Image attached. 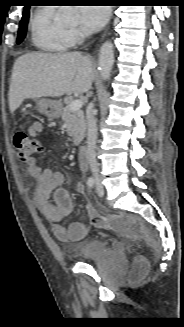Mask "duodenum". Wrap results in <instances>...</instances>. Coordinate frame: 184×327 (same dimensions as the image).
Wrapping results in <instances>:
<instances>
[{
    "label": "duodenum",
    "mask_w": 184,
    "mask_h": 327,
    "mask_svg": "<svg viewBox=\"0 0 184 327\" xmlns=\"http://www.w3.org/2000/svg\"><path fill=\"white\" fill-rule=\"evenodd\" d=\"M80 165L85 168L88 165V149L86 146H80L78 150Z\"/></svg>",
    "instance_id": "410a0bca"
}]
</instances>
